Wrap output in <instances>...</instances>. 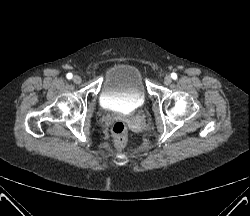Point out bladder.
I'll list each match as a JSON object with an SVG mask.
<instances>
[{
	"label": "bladder",
	"mask_w": 250,
	"mask_h": 216,
	"mask_svg": "<svg viewBox=\"0 0 250 216\" xmlns=\"http://www.w3.org/2000/svg\"><path fill=\"white\" fill-rule=\"evenodd\" d=\"M146 95L145 83L138 68L121 63L108 70L99 100L106 109L130 112L145 103Z\"/></svg>",
	"instance_id": "31cf9c89"
}]
</instances>
